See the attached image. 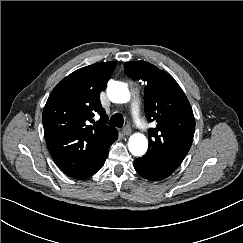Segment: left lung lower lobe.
I'll return each mask as SVG.
<instances>
[{"label": "left lung lower lobe", "mask_w": 243, "mask_h": 243, "mask_svg": "<svg viewBox=\"0 0 243 243\" xmlns=\"http://www.w3.org/2000/svg\"><path fill=\"white\" fill-rule=\"evenodd\" d=\"M134 168L140 176L151 181L163 180L174 172V170L144 157H140L134 161Z\"/></svg>", "instance_id": "1"}]
</instances>
